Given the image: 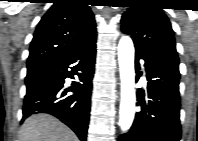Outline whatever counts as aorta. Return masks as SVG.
<instances>
[{
	"label": "aorta",
	"mask_w": 198,
	"mask_h": 141,
	"mask_svg": "<svg viewBox=\"0 0 198 141\" xmlns=\"http://www.w3.org/2000/svg\"><path fill=\"white\" fill-rule=\"evenodd\" d=\"M134 45L129 36H122L118 44V62L121 80L119 126L123 132L130 129L135 114Z\"/></svg>",
	"instance_id": "aorta-1"
}]
</instances>
